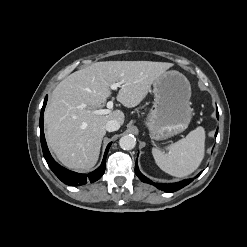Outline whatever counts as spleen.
I'll return each instance as SVG.
<instances>
[{
    "instance_id": "obj_1",
    "label": "spleen",
    "mask_w": 247,
    "mask_h": 247,
    "mask_svg": "<svg viewBox=\"0 0 247 247\" xmlns=\"http://www.w3.org/2000/svg\"><path fill=\"white\" fill-rule=\"evenodd\" d=\"M168 150L164 153L158 148L152 149L155 162L161 170L175 177H185L193 173L204 158V128L197 127L185 138L171 144Z\"/></svg>"
}]
</instances>
